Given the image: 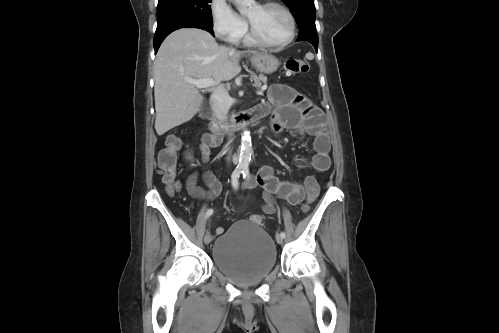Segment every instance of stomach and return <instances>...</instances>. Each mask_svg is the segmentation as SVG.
<instances>
[{
  "instance_id": "stomach-1",
  "label": "stomach",
  "mask_w": 499,
  "mask_h": 333,
  "mask_svg": "<svg viewBox=\"0 0 499 333\" xmlns=\"http://www.w3.org/2000/svg\"><path fill=\"white\" fill-rule=\"evenodd\" d=\"M250 60L257 71L265 74L275 72L280 64L279 60L274 55L267 52L254 54Z\"/></svg>"
}]
</instances>
